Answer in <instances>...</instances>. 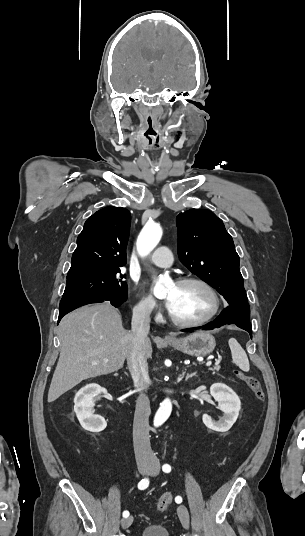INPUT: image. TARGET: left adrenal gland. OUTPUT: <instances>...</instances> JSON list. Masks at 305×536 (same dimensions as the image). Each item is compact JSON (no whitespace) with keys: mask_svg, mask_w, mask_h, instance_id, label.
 Wrapping results in <instances>:
<instances>
[{"mask_svg":"<svg viewBox=\"0 0 305 536\" xmlns=\"http://www.w3.org/2000/svg\"><path fill=\"white\" fill-rule=\"evenodd\" d=\"M185 374H186V372H183L182 378H184ZM192 376H195V372H194V374H187L185 380H188V378H192Z\"/></svg>","mask_w":305,"mask_h":536,"instance_id":"obj_1","label":"left adrenal gland"}]
</instances>
